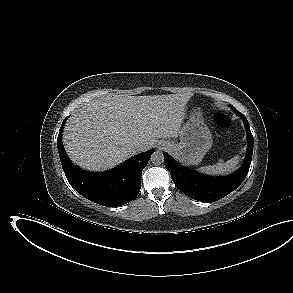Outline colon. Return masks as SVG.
I'll return each instance as SVG.
<instances>
[{"label":"colon","mask_w":293,"mask_h":293,"mask_svg":"<svg viewBox=\"0 0 293 293\" xmlns=\"http://www.w3.org/2000/svg\"><path fill=\"white\" fill-rule=\"evenodd\" d=\"M214 123L220 128H229L232 125V120L230 116L226 114L217 113L214 116Z\"/></svg>","instance_id":"obj_1"}]
</instances>
